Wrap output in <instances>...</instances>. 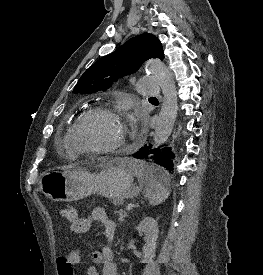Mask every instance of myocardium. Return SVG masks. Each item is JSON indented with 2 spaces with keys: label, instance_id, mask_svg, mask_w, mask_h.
<instances>
[{
  "label": "myocardium",
  "instance_id": "1",
  "mask_svg": "<svg viewBox=\"0 0 263 275\" xmlns=\"http://www.w3.org/2000/svg\"><path fill=\"white\" fill-rule=\"evenodd\" d=\"M95 115H107L113 118L121 125L126 134L116 144L106 148H88L82 146L77 139L78 130L83 122ZM133 137L134 133L132 129L126 124L118 111L108 106H95L84 112L75 120L71 126L68 141L75 153L86 155H108L125 150Z\"/></svg>",
  "mask_w": 263,
  "mask_h": 275
}]
</instances>
